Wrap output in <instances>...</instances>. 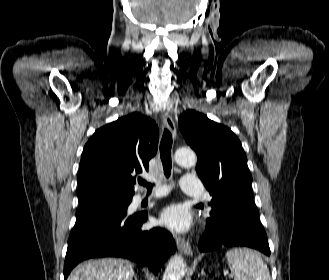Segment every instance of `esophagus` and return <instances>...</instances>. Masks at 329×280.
I'll list each match as a JSON object with an SVG mask.
<instances>
[{"instance_id":"1","label":"esophagus","mask_w":329,"mask_h":280,"mask_svg":"<svg viewBox=\"0 0 329 280\" xmlns=\"http://www.w3.org/2000/svg\"><path fill=\"white\" fill-rule=\"evenodd\" d=\"M163 123L166 126V128L171 132L173 137L176 136V125L175 122L172 118V116L168 113L165 112L163 114ZM175 241L177 248L179 251L185 255H191L192 254V249L190 243L183 237L175 235Z\"/></svg>"}]
</instances>
